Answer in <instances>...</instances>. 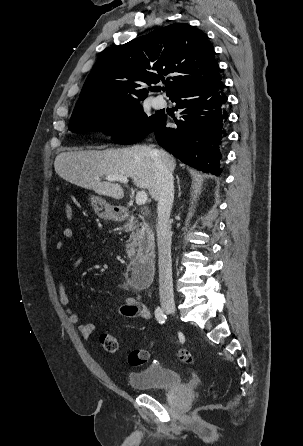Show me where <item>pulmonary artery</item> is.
Here are the masks:
<instances>
[{
  "mask_svg": "<svg viewBox=\"0 0 303 446\" xmlns=\"http://www.w3.org/2000/svg\"><path fill=\"white\" fill-rule=\"evenodd\" d=\"M166 105V102L163 98L161 97H156L153 100V106L155 108H163Z\"/></svg>",
  "mask_w": 303,
  "mask_h": 446,
  "instance_id": "obj_1",
  "label": "pulmonary artery"
}]
</instances>
